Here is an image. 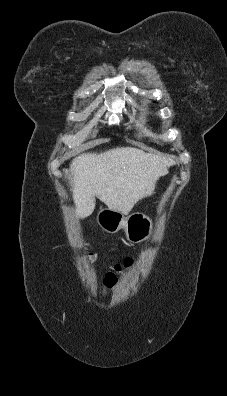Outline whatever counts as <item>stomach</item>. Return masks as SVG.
Returning <instances> with one entry per match:
<instances>
[{"mask_svg":"<svg viewBox=\"0 0 227 396\" xmlns=\"http://www.w3.org/2000/svg\"><path fill=\"white\" fill-rule=\"evenodd\" d=\"M96 219L98 225L108 233H117L124 229L127 239L132 243L147 240L153 229L152 220L139 212L124 216L120 211L102 208Z\"/></svg>","mask_w":227,"mask_h":396,"instance_id":"stomach-1","label":"stomach"}]
</instances>
